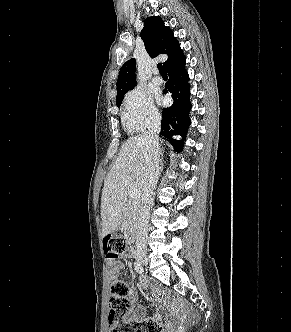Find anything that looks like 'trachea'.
Returning <instances> with one entry per match:
<instances>
[{"label":"trachea","instance_id":"1","mask_svg":"<svg viewBox=\"0 0 291 332\" xmlns=\"http://www.w3.org/2000/svg\"><path fill=\"white\" fill-rule=\"evenodd\" d=\"M157 67H158L159 72H160L161 75H166V72H165V70L163 69L162 64L159 63V64L157 65Z\"/></svg>","mask_w":291,"mask_h":332}]
</instances>
